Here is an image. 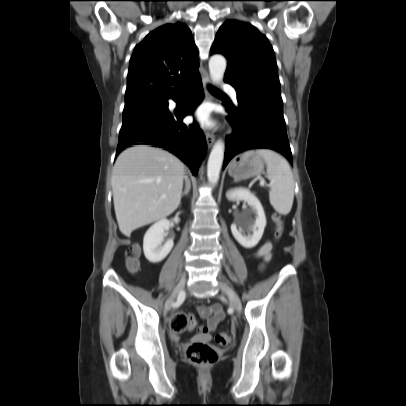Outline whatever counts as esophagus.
Instances as JSON below:
<instances>
[{
	"instance_id": "34e87169",
	"label": "esophagus",
	"mask_w": 406,
	"mask_h": 406,
	"mask_svg": "<svg viewBox=\"0 0 406 406\" xmlns=\"http://www.w3.org/2000/svg\"><path fill=\"white\" fill-rule=\"evenodd\" d=\"M202 81H203L204 89H205L206 93H208L207 89H208V87L211 85V79H210L209 75H208V74H205V76L203 77ZM205 136H206V141H207L208 147H209V148L212 147V145L214 144V141H215V136H214V134L207 131V132L205 133Z\"/></svg>"
}]
</instances>
